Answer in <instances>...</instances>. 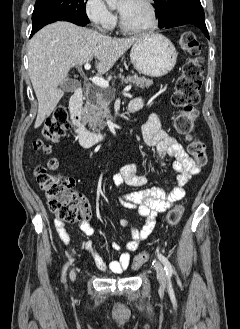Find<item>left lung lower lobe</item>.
Instances as JSON below:
<instances>
[{"label": "left lung lower lobe", "mask_w": 240, "mask_h": 329, "mask_svg": "<svg viewBox=\"0 0 240 329\" xmlns=\"http://www.w3.org/2000/svg\"><path fill=\"white\" fill-rule=\"evenodd\" d=\"M185 24H193L200 28L202 32L205 34V36L209 38L208 30L205 24L204 18H197V17H180L173 19L172 21L168 22L163 28H171L175 26H181Z\"/></svg>", "instance_id": "obj_1"}]
</instances>
